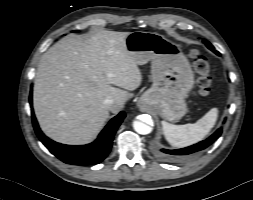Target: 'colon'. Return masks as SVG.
Here are the masks:
<instances>
[{"mask_svg":"<svg viewBox=\"0 0 253 200\" xmlns=\"http://www.w3.org/2000/svg\"><path fill=\"white\" fill-rule=\"evenodd\" d=\"M190 57L193 61L194 69L199 75L197 80L199 93L201 96L206 97L210 94L212 89L210 64L206 57H204L198 50H192Z\"/></svg>","mask_w":253,"mask_h":200,"instance_id":"colon-1","label":"colon"}]
</instances>
